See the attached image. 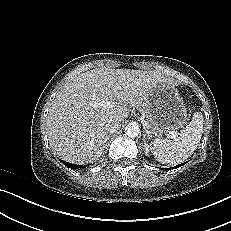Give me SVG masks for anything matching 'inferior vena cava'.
I'll return each mask as SVG.
<instances>
[{"label":"inferior vena cava","instance_id":"602c4592","mask_svg":"<svg viewBox=\"0 0 231 231\" xmlns=\"http://www.w3.org/2000/svg\"><path fill=\"white\" fill-rule=\"evenodd\" d=\"M120 122L118 121H113L109 124L106 125V130L108 133L112 134L115 133L116 131H118L120 129Z\"/></svg>","mask_w":231,"mask_h":231}]
</instances>
